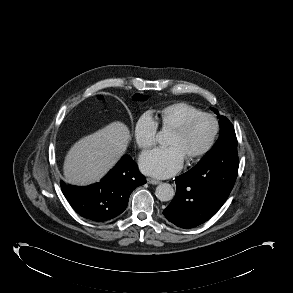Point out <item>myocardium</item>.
<instances>
[{"label":"myocardium","mask_w":293,"mask_h":293,"mask_svg":"<svg viewBox=\"0 0 293 293\" xmlns=\"http://www.w3.org/2000/svg\"><path fill=\"white\" fill-rule=\"evenodd\" d=\"M203 118H207L212 122V124H213L212 135H211L208 143L199 152H197L193 156L186 158L187 161L191 162V163L196 162V161L200 160L201 158H203L214 147V145L217 141L218 135H219V131H220V124H219L218 119L213 114L202 112V113H199V114L189 118L180 127L173 130V133H175L176 135L185 136L187 133H189V131L193 128V126L199 120H201Z\"/></svg>","instance_id":"1"}]
</instances>
